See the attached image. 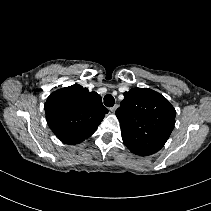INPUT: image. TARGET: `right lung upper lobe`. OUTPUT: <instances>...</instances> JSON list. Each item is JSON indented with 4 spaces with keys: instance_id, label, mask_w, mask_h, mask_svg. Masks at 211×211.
Listing matches in <instances>:
<instances>
[{
    "instance_id": "1",
    "label": "right lung upper lobe",
    "mask_w": 211,
    "mask_h": 211,
    "mask_svg": "<svg viewBox=\"0 0 211 211\" xmlns=\"http://www.w3.org/2000/svg\"><path fill=\"white\" fill-rule=\"evenodd\" d=\"M45 113L49 127L59 140L78 144L95 132L108 110L99 94L74 84L51 93Z\"/></svg>"
}]
</instances>
